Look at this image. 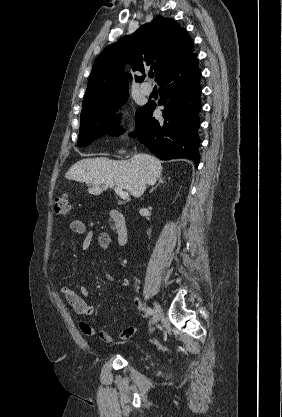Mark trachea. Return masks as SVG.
Listing matches in <instances>:
<instances>
[{"mask_svg":"<svg viewBox=\"0 0 282 417\" xmlns=\"http://www.w3.org/2000/svg\"><path fill=\"white\" fill-rule=\"evenodd\" d=\"M149 77H150V78H153V77H154V74H153V73H150V74H149Z\"/></svg>","mask_w":282,"mask_h":417,"instance_id":"trachea-1","label":"trachea"}]
</instances>
